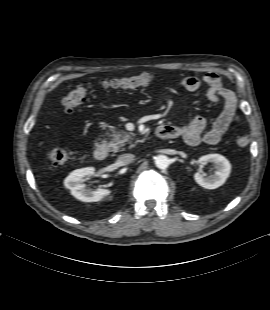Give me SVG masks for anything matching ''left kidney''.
Returning a JSON list of instances; mask_svg holds the SVG:
<instances>
[{"instance_id":"1","label":"left kidney","mask_w":270,"mask_h":310,"mask_svg":"<svg viewBox=\"0 0 270 310\" xmlns=\"http://www.w3.org/2000/svg\"><path fill=\"white\" fill-rule=\"evenodd\" d=\"M198 163L205 165L212 163L216 171L210 176H204L202 173L197 172L194 179L201 187L205 189H216L222 186L231 172L230 162L220 154H208L201 156Z\"/></svg>"}]
</instances>
